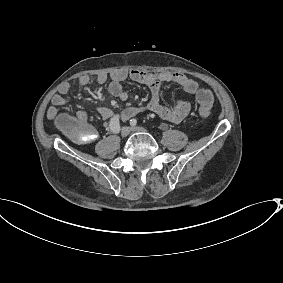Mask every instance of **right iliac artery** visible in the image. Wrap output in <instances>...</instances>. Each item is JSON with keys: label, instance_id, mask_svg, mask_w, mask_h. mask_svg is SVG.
I'll return each mask as SVG.
<instances>
[{"label": "right iliac artery", "instance_id": "right-iliac-artery-1", "mask_svg": "<svg viewBox=\"0 0 283 283\" xmlns=\"http://www.w3.org/2000/svg\"><path fill=\"white\" fill-rule=\"evenodd\" d=\"M109 127L113 133H119L120 131L119 115H115L113 118H111L109 122Z\"/></svg>", "mask_w": 283, "mask_h": 283}]
</instances>
